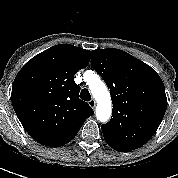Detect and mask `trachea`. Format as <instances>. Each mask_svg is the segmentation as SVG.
I'll return each instance as SVG.
<instances>
[{
    "label": "trachea",
    "instance_id": "1",
    "mask_svg": "<svg viewBox=\"0 0 178 178\" xmlns=\"http://www.w3.org/2000/svg\"><path fill=\"white\" fill-rule=\"evenodd\" d=\"M80 98L83 99L84 101H89L91 99V95L88 89L84 88L81 90Z\"/></svg>",
    "mask_w": 178,
    "mask_h": 178
}]
</instances>
